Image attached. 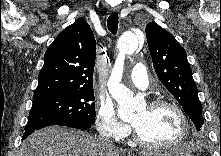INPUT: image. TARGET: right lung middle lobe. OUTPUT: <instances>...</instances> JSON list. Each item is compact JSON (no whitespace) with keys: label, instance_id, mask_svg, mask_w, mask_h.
Returning a JSON list of instances; mask_svg holds the SVG:
<instances>
[{"label":"right lung middle lobe","instance_id":"dd1d6c3e","mask_svg":"<svg viewBox=\"0 0 221 156\" xmlns=\"http://www.w3.org/2000/svg\"><path fill=\"white\" fill-rule=\"evenodd\" d=\"M93 89L54 93L34 98L25 131L50 125L93 124L95 102Z\"/></svg>","mask_w":221,"mask_h":156}]
</instances>
